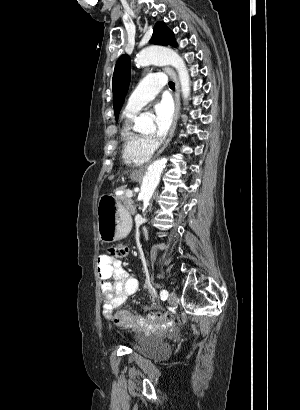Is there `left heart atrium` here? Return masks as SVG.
I'll list each match as a JSON object with an SVG mask.
<instances>
[{
  "mask_svg": "<svg viewBox=\"0 0 300 410\" xmlns=\"http://www.w3.org/2000/svg\"><path fill=\"white\" fill-rule=\"evenodd\" d=\"M153 112L156 124V135L159 138L164 137L172 125V105L166 100L160 101L154 105Z\"/></svg>",
  "mask_w": 300,
  "mask_h": 410,
  "instance_id": "1",
  "label": "left heart atrium"
}]
</instances>
